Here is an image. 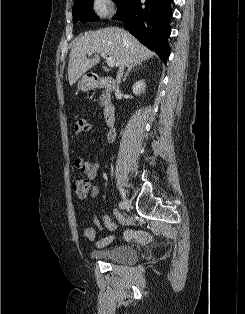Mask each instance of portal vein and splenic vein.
I'll return each mask as SVG.
<instances>
[{"instance_id": "obj_1", "label": "portal vein and splenic vein", "mask_w": 245, "mask_h": 314, "mask_svg": "<svg viewBox=\"0 0 245 314\" xmlns=\"http://www.w3.org/2000/svg\"><path fill=\"white\" fill-rule=\"evenodd\" d=\"M89 55H92L93 52H89ZM101 56L106 59V63L109 67H113L115 65V59L112 57H108L106 53H101Z\"/></svg>"}]
</instances>
